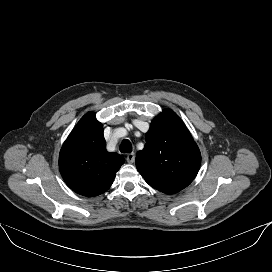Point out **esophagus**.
I'll return each mask as SVG.
<instances>
[{"label":"esophagus","mask_w":272,"mask_h":272,"mask_svg":"<svg viewBox=\"0 0 272 272\" xmlns=\"http://www.w3.org/2000/svg\"><path fill=\"white\" fill-rule=\"evenodd\" d=\"M126 160H127L128 163H134V161H135V154L134 153H129L126 156Z\"/></svg>","instance_id":"esophagus-1"}]
</instances>
